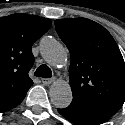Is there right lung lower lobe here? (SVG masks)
Wrapping results in <instances>:
<instances>
[{
    "mask_svg": "<svg viewBox=\"0 0 125 125\" xmlns=\"http://www.w3.org/2000/svg\"><path fill=\"white\" fill-rule=\"evenodd\" d=\"M23 99H24V97L0 104V113L6 112V111L16 107L17 105H19L22 102Z\"/></svg>",
    "mask_w": 125,
    "mask_h": 125,
    "instance_id": "right-lung-lower-lobe-1",
    "label": "right lung lower lobe"
}]
</instances>
